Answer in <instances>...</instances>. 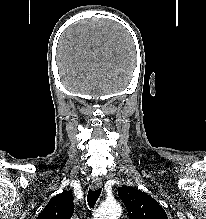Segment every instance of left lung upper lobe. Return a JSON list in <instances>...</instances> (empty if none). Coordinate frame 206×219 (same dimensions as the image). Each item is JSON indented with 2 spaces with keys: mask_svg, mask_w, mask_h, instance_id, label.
I'll return each instance as SVG.
<instances>
[{
  "mask_svg": "<svg viewBox=\"0 0 206 219\" xmlns=\"http://www.w3.org/2000/svg\"><path fill=\"white\" fill-rule=\"evenodd\" d=\"M118 195L126 206L129 219H168L159 203L138 189L118 187Z\"/></svg>",
  "mask_w": 206,
  "mask_h": 219,
  "instance_id": "left-lung-upper-lobe-1",
  "label": "left lung upper lobe"
}]
</instances>
